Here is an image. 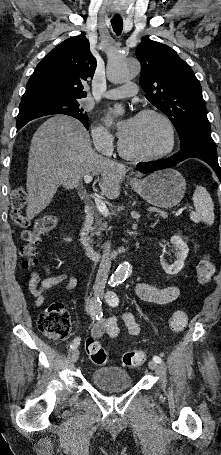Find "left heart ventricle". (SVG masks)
Listing matches in <instances>:
<instances>
[{
    "instance_id": "left-heart-ventricle-1",
    "label": "left heart ventricle",
    "mask_w": 221,
    "mask_h": 455,
    "mask_svg": "<svg viewBox=\"0 0 221 455\" xmlns=\"http://www.w3.org/2000/svg\"><path fill=\"white\" fill-rule=\"evenodd\" d=\"M121 139L127 150L139 154L159 151L168 140L164 125L154 116L135 117L131 130Z\"/></svg>"
}]
</instances>
